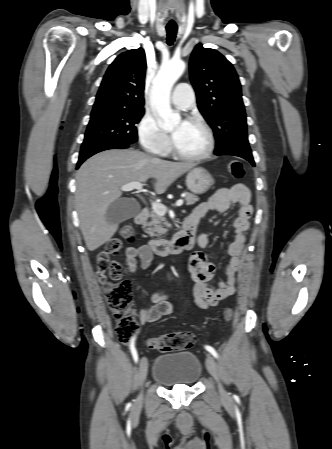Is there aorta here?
<instances>
[{"mask_svg": "<svg viewBox=\"0 0 332 449\" xmlns=\"http://www.w3.org/2000/svg\"><path fill=\"white\" fill-rule=\"evenodd\" d=\"M185 70L182 60H172L162 64L151 89L152 105L155 107L159 117L160 126L164 129H172L180 123L179 113L172 110L170 105V94L173 85Z\"/></svg>", "mask_w": 332, "mask_h": 449, "instance_id": "762f6f07", "label": "aorta"}]
</instances>
